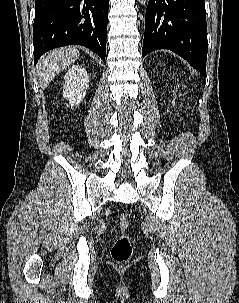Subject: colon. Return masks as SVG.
I'll list each match as a JSON object with an SVG mask.
<instances>
[{"label":"colon","instance_id":"5ec220e1","mask_svg":"<svg viewBox=\"0 0 239 303\" xmlns=\"http://www.w3.org/2000/svg\"><path fill=\"white\" fill-rule=\"evenodd\" d=\"M118 223L121 233L115 240L111 255L114 262L124 264L129 261L133 250L131 240L125 233L130 227V219L127 215L121 214L119 216Z\"/></svg>","mask_w":239,"mask_h":303}]
</instances>
